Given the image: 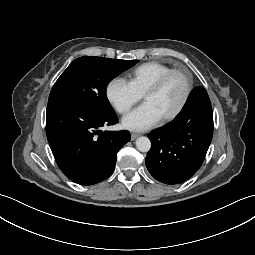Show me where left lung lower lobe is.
I'll return each instance as SVG.
<instances>
[{"label":"left lung lower lobe","mask_w":255,"mask_h":255,"mask_svg":"<svg viewBox=\"0 0 255 255\" xmlns=\"http://www.w3.org/2000/svg\"><path fill=\"white\" fill-rule=\"evenodd\" d=\"M212 136L211 102L205 88L196 87L173 121L148 134L147 169L162 183H183L201 167Z\"/></svg>","instance_id":"left-lung-lower-lobe-1"}]
</instances>
